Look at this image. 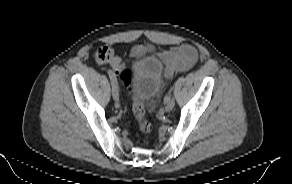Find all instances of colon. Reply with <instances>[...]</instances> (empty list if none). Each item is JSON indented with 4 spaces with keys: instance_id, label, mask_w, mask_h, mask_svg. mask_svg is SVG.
<instances>
[{
    "instance_id": "colon-1",
    "label": "colon",
    "mask_w": 292,
    "mask_h": 184,
    "mask_svg": "<svg viewBox=\"0 0 292 184\" xmlns=\"http://www.w3.org/2000/svg\"><path fill=\"white\" fill-rule=\"evenodd\" d=\"M94 57L98 63H110L115 58V54L110 47L102 46L96 49ZM120 77L125 85L128 86L129 70H123ZM132 99L133 112L137 120L139 130L144 134H148L152 130V125L145 117L143 103L134 95Z\"/></svg>"
}]
</instances>
